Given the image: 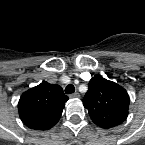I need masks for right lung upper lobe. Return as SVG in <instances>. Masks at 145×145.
Instances as JSON below:
<instances>
[{
  "instance_id": "right-lung-upper-lobe-1",
  "label": "right lung upper lobe",
  "mask_w": 145,
  "mask_h": 145,
  "mask_svg": "<svg viewBox=\"0 0 145 145\" xmlns=\"http://www.w3.org/2000/svg\"><path fill=\"white\" fill-rule=\"evenodd\" d=\"M68 99L60 86L43 81L20 97V119L31 129L48 130L58 122Z\"/></svg>"
}]
</instances>
